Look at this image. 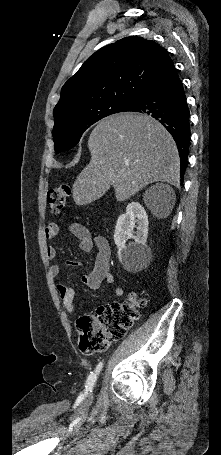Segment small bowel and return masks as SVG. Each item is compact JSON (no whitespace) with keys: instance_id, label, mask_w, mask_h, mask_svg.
<instances>
[{"instance_id":"1","label":"small bowel","mask_w":221,"mask_h":455,"mask_svg":"<svg viewBox=\"0 0 221 455\" xmlns=\"http://www.w3.org/2000/svg\"><path fill=\"white\" fill-rule=\"evenodd\" d=\"M70 231L79 239V249L83 252H90L94 245L97 247V254L94 262V268L90 273H83L81 281L90 289H98L103 282L112 284L114 276L110 271L111 249L107 239L103 236L93 237L90 231L79 223L70 225ZM58 230L56 224H49L45 229V236L48 240H53L57 237ZM46 257L50 262L49 273L52 277H57L61 273V267L56 262L58 257L57 248L49 246L46 250ZM66 267L77 268L81 266L79 261H67ZM59 295L62 300L65 311L69 314L75 312L74 307V290L64 283H59L57 286ZM114 294L121 297L124 290L120 286L114 287Z\"/></svg>"}]
</instances>
